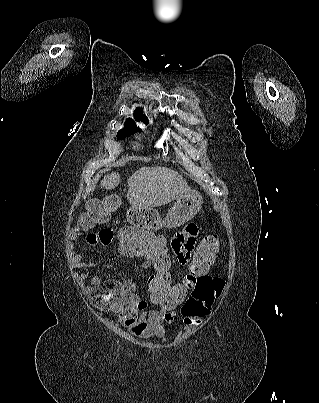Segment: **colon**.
Instances as JSON below:
<instances>
[{"label":"colon","instance_id":"5ec220e1","mask_svg":"<svg viewBox=\"0 0 319 403\" xmlns=\"http://www.w3.org/2000/svg\"><path fill=\"white\" fill-rule=\"evenodd\" d=\"M120 202L116 192H108L106 197H92L86 203L88 210L80 217L78 227L86 230L95 224H106L114 217ZM112 239L118 243L122 260H144V268H151L147 288L149 304H157L158 313H176L180 333L187 334L188 325H192L190 331H196L194 325L209 317L210 305L222 298L226 287L222 277L207 276L221 258V238H202V242H195L192 260L184 267L180 282H172V268L177 267V262L167 252L168 234H151L139 226H124ZM191 291L195 296H188ZM180 302L182 307L178 308Z\"/></svg>","mask_w":319,"mask_h":403}]
</instances>
